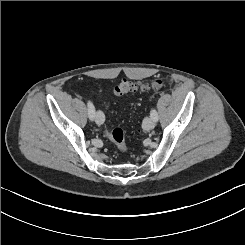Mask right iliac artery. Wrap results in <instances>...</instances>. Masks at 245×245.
I'll return each mask as SVG.
<instances>
[{"mask_svg": "<svg viewBox=\"0 0 245 245\" xmlns=\"http://www.w3.org/2000/svg\"><path fill=\"white\" fill-rule=\"evenodd\" d=\"M88 115L91 120L95 117V107L90 100L87 101Z\"/></svg>", "mask_w": 245, "mask_h": 245, "instance_id": "right-iliac-artery-1", "label": "right iliac artery"}]
</instances>
